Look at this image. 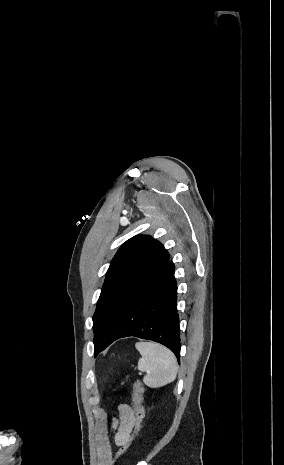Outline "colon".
Segmentation results:
<instances>
[{
	"label": "colon",
	"mask_w": 284,
	"mask_h": 465,
	"mask_svg": "<svg viewBox=\"0 0 284 465\" xmlns=\"http://www.w3.org/2000/svg\"><path fill=\"white\" fill-rule=\"evenodd\" d=\"M143 395H144V390L142 388L141 382L135 381L133 385V405L137 412V418L135 420L136 431H139L142 417H143ZM135 441H136V438L132 437L131 440H129L127 443H124L122 445V448L119 449L118 451L119 453H116V457L114 458V461L118 462L119 460H121L119 458H125L126 454L129 453V451L131 450V447L134 445Z\"/></svg>",
	"instance_id": "colon-1"
}]
</instances>
